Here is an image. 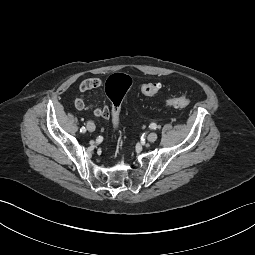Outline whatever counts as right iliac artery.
Returning a JSON list of instances; mask_svg holds the SVG:
<instances>
[{"label":"right iliac artery","instance_id":"1","mask_svg":"<svg viewBox=\"0 0 255 255\" xmlns=\"http://www.w3.org/2000/svg\"><path fill=\"white\" fill-rule=\"evenodd\" d=\"M80 132L85 133L86 132V128L85 127H81L80 128Z\"/></svg>","mask_w":255,"mask_h":255}]
</instances>
